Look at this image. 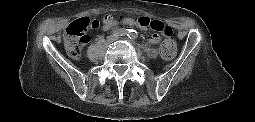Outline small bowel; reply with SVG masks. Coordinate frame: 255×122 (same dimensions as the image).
<instances>
[{"label": "small bowel", "instance_id": "small-bowel-1", "mask_svg": "<svg viewBox=\"0 0 255 122\" xmlns=\"http://www.w3.org/2000/svg\"><path fill=\"white\" fill-rule=\"evenodd\" d=\"M117 24H124V25H128V26H136L138 27L137 23H136V19H133V18H128L126 22L124 23H119V22H116ZM114 25L113 23L111 24H107V25H104L102 30L103 31H107L111 28V26ZM159 42V36L157 34H153V35H150L148 37V43L152 46H155L157 45Z\"/></svg>", "mask_w": 255, "mask_h": 122}]
</instances>
